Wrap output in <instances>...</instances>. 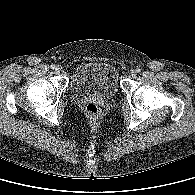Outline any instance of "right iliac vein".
Returning a JSON list of instances; mask_svg holds the SVG:
<instances>
[{
  "label": "right iliac vein",
  "mask_w": 195,
  "mask_h": 195,
  "mask_svg": "<svg viewBox=\"0 0 195 195\" xmlns=\"http://www.w3.org/2000/svg\"><path fill=\"white\" fill-rule=\"evenodd\" d=\"M60 71H61V68H60L59 66H57V67L55 68V72H56L57 74H59Z\"/></svg>",
  "instance_id": "right-iliac-vein-1"
}]
</instances>
